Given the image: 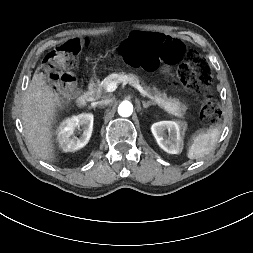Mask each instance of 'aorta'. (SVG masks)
I'll list each match as a JSON object with an SVG mask.
<instances>
[{
  "label": "aorta",
  "mask_w": 253,
  "mask_h": 253,
  "mask_svg": "<svg viewBox=\"0 0 253 253\" xmlns=\"http://www.w3.org/2000/svg\"><path fill=\"white\" fill-rule=\"evenodd\" d=\"M118 113L122 117H129L133 113V105L129 101H123L118 107Z\"/></svg>",
  "instance_id": "1"
}]
</instances>
